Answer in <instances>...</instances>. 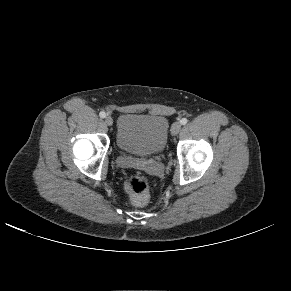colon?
<instances>
[{"label":"colon","instance_id":"1","mask_svg":"<svg viewBox=\"0 0 291 291\" xmlns=\"http://www.w3.org/2000/svg\"><path fill=\"white\" fill-rule=\"evenodd\" d=\"M131 202L136 206L145 205L150 198L149 180L138 174L130 175L124 185Z\"/></svg>","mask_w":291,"mask_h":291}]
</instances>
